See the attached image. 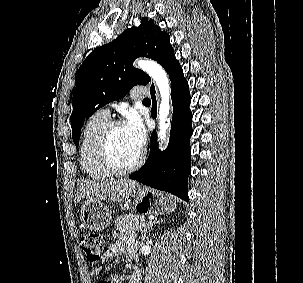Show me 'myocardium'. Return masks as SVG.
Wrapping results in <instances>:
<instances>
[{
	"instance_id": "myocardium-1",
	"label": "myocardium",
	"mask_w": 303,
	"mask_h": 283,
	"mask_svg": "<svg viewBox=\"0 0 303 283\" xmlns=\"http://www.w3.org/2000/svg\"><path fill=\"white\" fill-rule=\"evenodd\" d=\"M122 126L119 121L110 120L103 128L96 146V156L100 166L109 175L123 176L137 170L144 161V152L140 151L137 159L127 167H120L116 164L111 150V138L113 131Z\"/></svg>"
}]
</instances>
